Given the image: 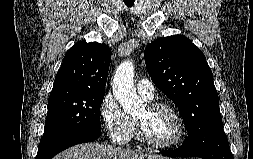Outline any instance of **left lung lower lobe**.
Returning a JSON list of instances; mask_svg holds the SVG:
<instances>
[{
	"mask_svg": "<svg viewBox=\"0 0 253 159\" xmlns=\"http://www.w3.org/2000/svg\"><path fill=\"white\" fill-rule=\"evenodd\" d=\"M169 157H200L203 159H233L227 136L222 126L215 128L203 139L187 137L183 144L172 151H162Z\"/></svg>",
	"mask_w": 253,
	"mask_h": 159,
	"instance_id": "left-lung-lower-lobe-1",
	"label": "left lung lower lobe"
}]
</instances>
